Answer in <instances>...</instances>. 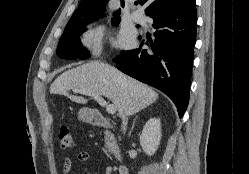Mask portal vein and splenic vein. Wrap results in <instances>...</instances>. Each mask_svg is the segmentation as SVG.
Returning <instances> with one entry per match:
<instances>
[{
	"label": "portal vein and splenic vein",
	"instance_id": "18ae733b",
	"mask_svg": "<svg viewBox=\"0 0 249 174\" xmlns=\"http://www.w3.org/2000/svg\"><path fill=\"white\" fill-rule=\"evenodd\" d=\"M80 93L93 97L102 107L106 108L108 114L113 115L116 113V107L113 104L107 103L98 93H95L90 90H83L80 91Z\"/></svg>",
	"mask_w": 249,
	"mask_h": 174
}]
</instances>
